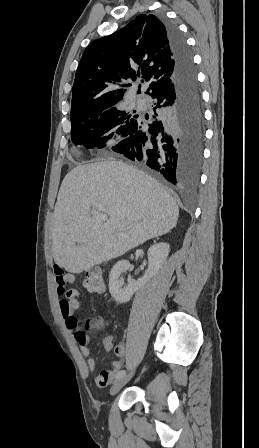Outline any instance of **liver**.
Returning a JSON list of instances; mask_svg holds the SVG:
<instances>
[{
  "label": "liver",
  "mask_w": 259,
  "mask_h": 448,
  "mask_svg": "<svg viewBox=\"0 0 259 448\" xmlns=\"http://www.w3.org/2000/svg\"><path fill=\"white\" fill-rule=\"evenodd\" d=\"M104 212L108 222L91 214ZM179 208L142 170L108 158L65 176L51 222L55 264L81 274L175 228ZM80 244V246H77Z\"/></svg>",
  "instance_id": "obj_1"
}]
</instances>
